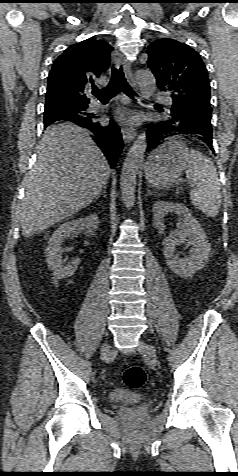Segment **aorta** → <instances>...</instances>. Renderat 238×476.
Masks as SVG:
<instances>
[{"label":"aorta","mask_w":238,"mask_h":476,"mask_svg":"<svg viewBox=\"0 0 238 476\" xmlns=\"http://www.w3.org/2000/svg\"><path fill=\"white\" fill-rule=\"evenodd\" d=\"M135 79L142 96L149 99L156 89V79L150 71L140 70L136 73ZM147 148L146 133L138 135L132 144L122 167L120 186L121 199L127 209H131L135 202L136 177L138 169L143 162Z\"/></svg>","instance_id":"aorta-1"}]
</instances>
